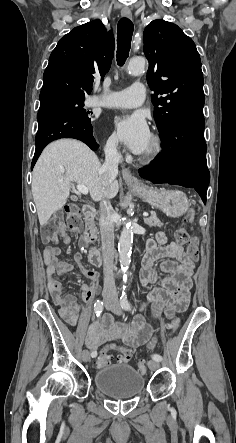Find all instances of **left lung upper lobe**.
I'll return each mask as SVG.
<instances>
[{"instance_id": "obj_1", "label": "left lung upper lobe", "mask_w": 236, "mask_h": 443, "mask_svg": "<svg viewBox=\"0 0 236 443\" xmlns=\"http://www.w3.org/2000/svg\"><path fill=\"white\" fill-rule=\"evenodd\" d=\"M143 50L159 133L184 112H203V73L193 40L177 25L157 19L144 30Z\"/></svg>"}]
</instances>
